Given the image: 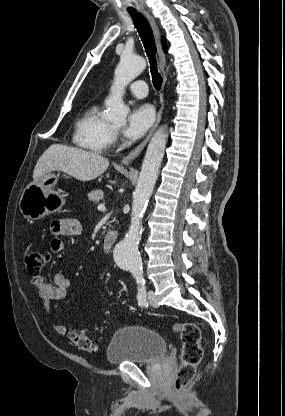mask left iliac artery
Returning <instances> with one entry per match:
<instances>
[{
  "mask_svg": "<svg viewBox=\"0 0 285 416\" xmlns=\"http://www.w3.org/2000/svg\"><path fill=\"white\" fill-rule=\"evenodd\" d=\"M135 278L138 283V294H137V300L138 305L141 307H148V302L146 299V283L145 279L141 274L135 275Z\"/></svg>",
  "mask_w": 285,
  "mask_h": 416,
  "instance_id": "44dca946",
  "label": "left iliac artery"
}]
</instances>
